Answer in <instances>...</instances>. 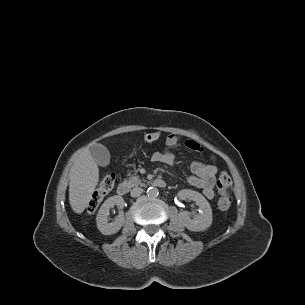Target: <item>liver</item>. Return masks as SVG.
I'll use <instances>...</instances> for the list:
<instances>
[{
    "mask_svg": "<svg viewBox=\"0 0 305 305\" xmlns=\"http://www.w3.org/2000/svg\"><path fill=\"white\" fill-rule=\"evenodd\" d=\"M98 181V165L89 147H84L78 151V156L69 172V201L75 213L81 214L85 210Z\"/></svg>",
    "mask_w": 305,
    "mask_h": 305,
    "instance_id": "obj_1",
    "label": "liver"
}]
</instances>
